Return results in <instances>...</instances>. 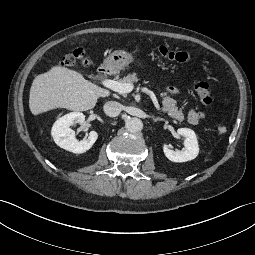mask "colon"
I'll list each match as a JSON object with an SVG mask.
<instances>
[{
	"mask_svg": "<svg viewBox=\"0 0 255 255\" xmlns=\"http://www.w3.org/2000/svg\"><path fill=\"white\" fill-rule=\"evenodd\" d=\"M159 54L167 60L176 61L180 63L190 62L194 55L189 51L184 50H172L164 45L159 46ZM88 50L86 48H80L76 50L73 54L67 56L63 61L62 65L67 67H77L84 66L89 63ZM195 90L198 93L201 102L205 106L213 105L215 101L214 94L209 89V84L205 80L198 81L195 85ZM228 128L225 124H221L218 127V132L220 134H225Z\"/></svg>",
	"mask_w": 255,
	"mask_h": 255,
	"instance_id": "colon-1",
	"label": "colon"
}]
</instances>
